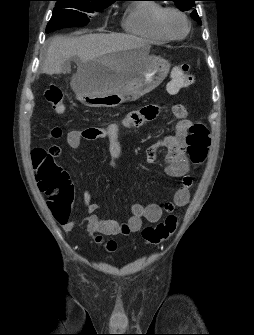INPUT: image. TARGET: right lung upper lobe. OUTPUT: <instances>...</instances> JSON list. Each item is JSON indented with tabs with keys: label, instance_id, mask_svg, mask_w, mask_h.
<instances>
[{
	"label": "right lung upper lobe",
	"instance_id": "cb5924a9",
	"mask_svg": "<svg viewBox=\"0 0 254 335\" xmlns=\"http://www.w3.org/2000/svg\"><path fill=\"white\" fill-rule=\"evenodd\" d=\"M98 1H103V2H114V1H117V0H98Z\"/></svg>",
	"mask_w": 254,
	"mask_h": 335
}]
</instances>
